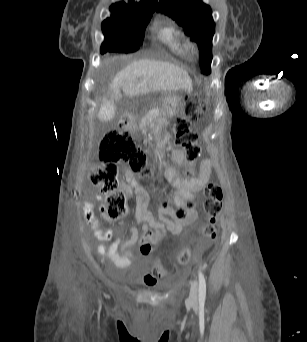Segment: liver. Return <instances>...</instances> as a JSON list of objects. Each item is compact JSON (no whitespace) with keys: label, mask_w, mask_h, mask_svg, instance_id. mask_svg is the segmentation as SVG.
Listing matches in <instances>:
<instances>
[{"label":"liver","mask_w":307,"mask_h":342,"mask_svg":"<svg viewBox=\"0 0 307 342\" xmlns=\"http://www.w3.org/2000/svg\"><path fill=\"white\" fill-rule=\"evenodd\" d=\"M111 95L140 96L149 92H191L192 80L183 68L171 62L138 60L120 70L110 86ZM123 94H122V92Z\"/></svg>","instance_id":"1"}]
</instances>
